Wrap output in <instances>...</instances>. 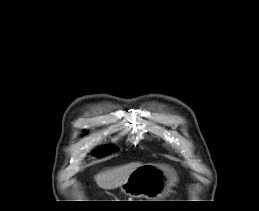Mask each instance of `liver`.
<instances>
[{
    "label": "liver",
    "mask_w": 259,
    "mask_h": 211,
    "mask_svg": "<svg viewBox=\"0 0 259 211\" xmlns=\"http://www.w3.org/2000/svg\"><path fill=\"white\" fill-rule=\"evenodd\" d=\"M143 164L140 162H132L119 167L106 169L94 176L97 185L106 190L120 187L129 177V175Z\"/></svg>",
    "instance_id": "6515ba94"
}]
</instances>
